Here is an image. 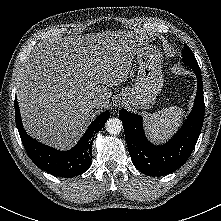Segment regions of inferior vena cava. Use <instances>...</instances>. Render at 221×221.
<instances>
[{
  "label": "inferior vena cava",
  "instance_id": "1",
  "mask_svg": "<svg viewBox=\"0 0 221 221\" xmlns=\"http://www.w3.org/2000/svg\"><path fill=\"white\" fill-rule=\"evenodd\" d=\"M101 104L100 100L99 99H94L90 102V107L91 108H97L99 107Z\"/></svg>",
  "mask_w": 221,
  "mask_h": 221
}]
</instances>
